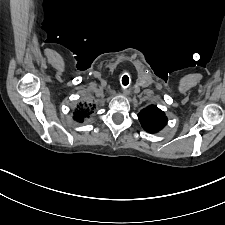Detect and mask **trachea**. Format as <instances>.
Here are the masks:
<instances>
[{"mask_svg": "<svg viewBox=\"0 0 225 225\" xmlns=\"http://www.w3.org/2000/svg\"><path fill=\"white\" fill-rule=\"evenodd\" d=\"M122 84H123L124 86H127V85L129 84V77H128L127 75H124V76L122 77Z\"/></svg>", "mask_w": 225, "mask_h": 225, "instance_id": "obj_1", "label": "trachea"}]
</instances>
